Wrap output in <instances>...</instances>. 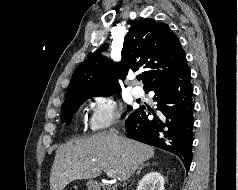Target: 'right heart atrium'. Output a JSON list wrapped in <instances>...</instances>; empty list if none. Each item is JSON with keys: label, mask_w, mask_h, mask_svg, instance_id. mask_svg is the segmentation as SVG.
<instances>
[{"label": "right heart atrium", "mask_w": 238, "mask_h": 190, "mask_svg": "<svg viewBox=\"0 0 238 190\" xmlns=\"http://www.w3.org/2000/svg\"><path fill=\"white\" fill-rule=\"evenodd\" d=\"M122 115V108L111 96L97 94L90 102L89 125L94 131L104 130L117 123Z\"/></svg>", "instance_id": "1"}]
</instances>
